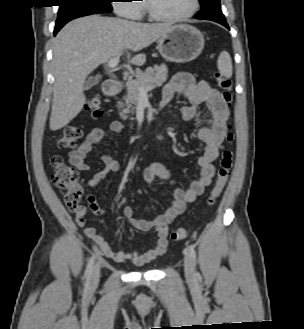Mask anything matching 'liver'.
I'll return each mask as SVG.
<instances>
[{"instance_id": "obj_1", "label": "liver", "mask_w": 304, "mask_h": 329, "mask_svg": "<svg viewBox=\"0 0 304 329\" xmlns=\"http://www.w3.org/2000/svg\"><path fill=\"white\" fill-rule=\"evenodd\" d=\"M171 27L168 23H139L100 15L81 17L66 24L53 41L55 82L50 129L65 127L80 113L86 101L84 83L94 69L122 56L124 51H141ZM145 61L144 53L130 59L138 66Z\"/></svg>"}]
</instances>
